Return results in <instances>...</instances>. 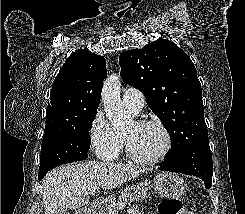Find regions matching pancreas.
I'll return each mask as SVG.
<instances>
[{
	"instance_id": "obj_1",
	"label": "pancreas",
	"mask_w": 245,
	"mask_h": 214,
	"mask_svg": "<svg viewBox=\"0 0 245 214\" xmlns=\"http://www.w3.org/2000/svg\"><path fill=\"white\" fill-rule=\"evenodd\" d=\"M151 199L150 194L147 192V188L140 185H132L126 187L119 195L117 201H110L107 207V214H117L127 204L138 200Z\"/></svg>"
}]
</instances>
